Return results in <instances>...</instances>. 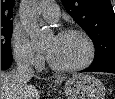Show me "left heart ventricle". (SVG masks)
I'll list each match as a JSON object with an SVG mask.
<instances>
[{"label":"left heart ventricle","instance_id":"1","mask_svg":"<svg viewBox=\"0 0 115 99\" xmlns=\"http://www.w3.org/2000/svg\"><path fill=\"white\" fill-rule=\"evenodd\" d=\"M51 47L50 60L57 65H74L83 61L87 55V46L78 35H58L51 37L46 48Z\"/></svg>","mask_w":115,"mask_h":99}]
</instances>
